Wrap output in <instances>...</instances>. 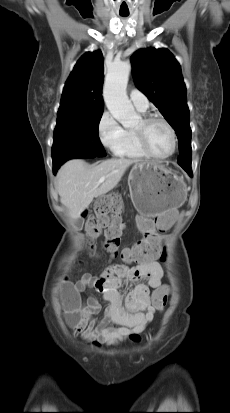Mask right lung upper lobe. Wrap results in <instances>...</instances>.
<instances>
[{"instance_id": "right-lung-upper-lobe-1", "label": "right lung upper lobe", "mask_w": 230, "mask_h": 413, "mask_svg": "<svg viewBox=\"0 0 230 413\" xmlns=\"http://www.w3.org/2000/svg\"><path fill=\"white\" fill-rule=\"evenodd\" d=\"M103 55L85 53L76 63L63 89L57 118L91 117L103 113Z\"/></svg>"}]
</instances>
